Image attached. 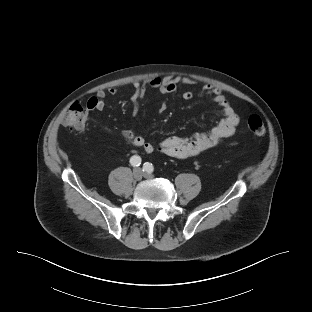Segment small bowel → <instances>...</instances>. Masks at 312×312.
I'll list each match as a JSON object with an SVG mask.
<instances>
[{
    "label": "small bowel",
    "instance_id": "1",
    "mask_svg": "<svg viewBox=\"0 0 312 312\" xmlns=\"http://www.w3.org/2000/svg\"><path fill=\"white\" fill-rule=\"evenodd\" d=\"M193 81L185 77H154L143 82L135 81L133 83L134 93L131 97L133 105V113L139 111V101L146 98L149 88L159 91L162 94L176 93L182 85L190 84ZM115 87L100 89L94 97H91L87 106L90 110L102 111L105 106V99L108 95L115 96L117 94ZM196 93L191 90L182 92L185 100H191ZM197 95L205 97L216 104L222 111L223 118L208 132L197 133L191 136H170L159 143L148 142L145 137L130 129L122 131L124 139L134 147L143 148L148 154L160 153L175 158H188L200 154L201 152L220 144L224 139L234 135L236 127L239 124V116L230 105L223 91L213 85H205ZM166 109V103H163L160 111Z\"/></svg>",
    "mask_w": 312,
    "mask_h": 312
}]
</instances>
